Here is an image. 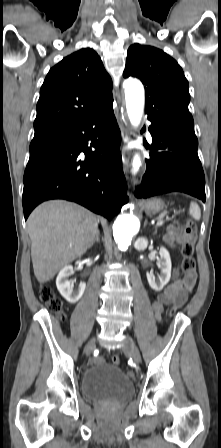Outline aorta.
Masks as SVG:
<instances>
[{
    "instance_id": "762f6f07",
    "label": "aorta",
    "mask_w": 221,
    "mask_h": 448,
    "mask_svg": "<svg viewBox=\"0 0 221 448\" xmlns=\"http://www.w3.org/2000/svg\"><path fill=\"white\" fill-rule=\"evenodd\" d=\"M127 114L132 126L140 124L144 109L143 85L134 79L126 80L123 84ZM139 154H135L132 161V173L136 174L141 166ZM140 221L133 214L118 216L113 225V235L120 250L125 251L131 243L132 237L139 231Z\"/></svg>"
}]
</instances>
